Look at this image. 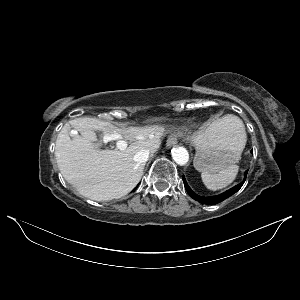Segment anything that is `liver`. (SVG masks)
<instances>
[{"label": "liver", "mask_w": 300, "mask_h": 300, "mask_svg": "<svg viewBox=\"0 0 300 300\" xmlns=\"http://www.w3.org/2000/svg\"><path fill=\"white\" fill-rule=\"evenodd\" d=\"M70 125L80 133L70 137ZM66 124L56 140L55 157L63 177L81 195L95 201H109L128 194L140 181L145 164L134 155L147 149L153 154L160 146L164 127L119 128L94 118H76ZM94 130L105 137L118 134L130 141L124 150H102Z\"/></svg>", "instance_id": "obj_1"}]
</instances>
